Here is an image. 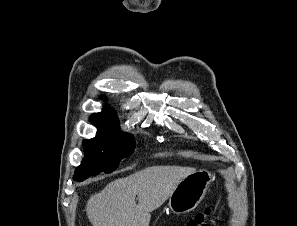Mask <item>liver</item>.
Returning a JSON list of instances; mask_svg holds the SVG:
<instances>
[{"label":"liver","mask_w":297,"mask_h":226,"mask_svg":"<svg viewBox=\"0 0 297 226\" xmlns=\"http://www.w3.org/2000/svg\"><path fill=\"white\" fill-rule=\"evenodd\" d=\"M194 172L193 167L152 166L116 179L90 197L87 216L93 226H149L150 213Z\"/></svg>","instance_id":"1"}]
</instances>
